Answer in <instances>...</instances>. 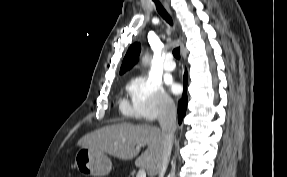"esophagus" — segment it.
<instances>
[{"mask_svg":"<svg viewBox=\"0 0 287 177\" xmlns=\"http://www.w3.org/2000/svg\"><path fill=\"white\" fill-rule=\"evenodd\" d=\"M164 6H165V8L168 10V6H167V4L166 3H164ZM169 11V10H168Z\"/></svg>","mask_w":287,"mask_h":177,"instance_id":"obj_1","label":"esophagus"}]
</instances>
